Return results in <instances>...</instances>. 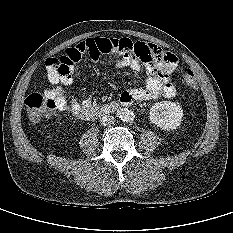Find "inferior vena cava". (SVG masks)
I'll return each mask as SVG.
<instances>
[{"instance_id":"obj_1","label":"inferior vena cava","mask_w":233,"mask_h":233,"mask_svg":"<svg viewBox=\"0 0 233 233\" xmlns=\"http://www.w3.org/2000/svg\"><path fill=\"white\" fill-rule=\"evenodd\" d=\"M115 119L112 115H103L102 117H100V124L103 126H108L111 124H114Z\"/></svg>"}]
</instances>
